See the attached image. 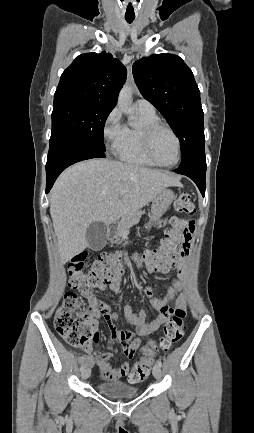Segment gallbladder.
Wrapping results in <instances>:
<instances>
[{
    "instance_id": "obj_1",
    "label": "gallbladder",
    "mask_w": 254,
    "mask_h": 433,
    "mask_svg": "<svg viewBox=\"0 0 254 433\" xmlns=\"http://www.w3.org/2000/svg\"><path fill=\"white\" fill-rule=\"evenodd\" d=\"M108 238L107 226L103 222H93L86 230V240L91 250L98 251L104 248Z\"/></svg>"
}]
</instances>
